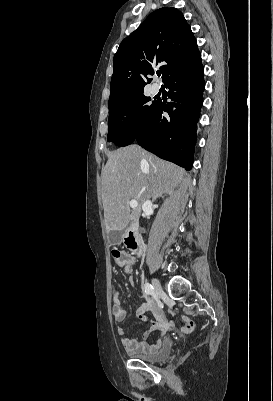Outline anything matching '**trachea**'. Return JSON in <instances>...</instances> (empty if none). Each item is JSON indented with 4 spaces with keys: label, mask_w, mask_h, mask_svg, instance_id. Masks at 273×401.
<instances>
[{
    "label": "trachea",
    "mask_w": 273,
    "mask_h": 401,
    "mask_svg": "<svg viewBox=\"0 0 273 401\" xmlns=\"http://www.w3.org/2000/svg\"><path fill=\"white\" fill-rule=\"evenodd\" d=\"M157 75H158V77H160L161 76V72H157Z\"/></svg>",
    "instance_id": "trachea-1"
}]
</instances>
